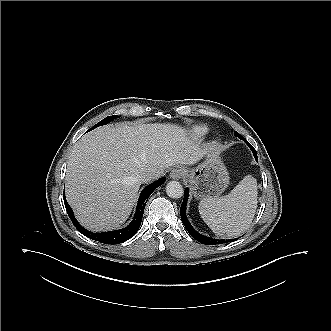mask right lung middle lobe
Instances as JSON below:
<instances>
[{
  "label": "right lung middle lobe",
  "mask_w": 331,
  "mask_h": 331,
  "mask_svg": "<svg viewBox=\"0 0 331 331\" xmlns=\"http://www.w3.org/2000/svg\"><path fill=\"white\" fill-rule=\"evenodd\" d=\"M117 117L118 116H116V115L108 116L105 119H103L102 121H100L99 123H97L96 125H94L90 130H92L98 126L105 125V124L111 122L112 120L116 119ZM90 130H88V131H90Z\"/></svg>",
  "instance_id": "1"
}]
</instances>
